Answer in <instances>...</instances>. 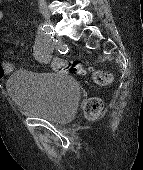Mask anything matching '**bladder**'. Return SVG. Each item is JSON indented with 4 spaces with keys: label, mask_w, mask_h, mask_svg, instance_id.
<instances>
[{
    "label": "bladder",
    "mask_w": 143,
    "mask_h": 170,
    "mask_svg": "<svg viewBox=\"0 0 143 170\" xmlns=\"http://www.w3.org/2000/svg\"><path fill=\"white\" fill-rule=\"evenodd\" d=\"M7 92L22 113L55 123L73 119L81 96L71 75L32 70L15 71L8 78Z\"/></svg>",
    "instance_id": "obj_1"
}]
</instances>
